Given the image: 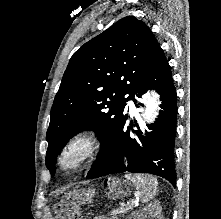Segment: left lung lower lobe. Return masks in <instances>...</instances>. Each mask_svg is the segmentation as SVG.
Returning a JSON list of instances; mask_svg holds the SVG:
<instances>
[{"instance_id": "obj_1", "label": "left lung lower lobe", "mask_w": 221, "mask_h": 219, "mask_svg": "<svg viewBox=\"0 0 221 219\" xmlns=\"http://www.w3.org/2000/svg\"><path fill=\"white\" fill-rule=\"evenodd\" d=\"M149 88H154L161 95L162 101V110L156 121L148 126L149 132L142 135L140 130H133L138 137L137 141L130 133L133 124H125L128 115L124 113L107 145L87 172V179L122 172L148 173L161 176L176 186L174 146L177 96L170 66L160 47L131 99L137 103L134 97L141 98ZM136 127L139 129L137 124Z\"/></svg>"}]
</instances>
